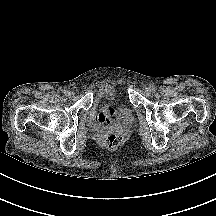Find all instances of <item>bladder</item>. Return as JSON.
I'll list each match as a JSON object with an SVG mask.
<instances>
[{"label": "bladder", "mask_w": 216, "mask_h": 216, "mask_svg": "<svg viewBox=\"0 0 216 216\" xmlns=\"http://www.w3.org/2000/svg\"><path fill=\"white\" fill-rule=\"evenodd\" d=\"M104 99L114 100L116 99V94L114 92H106L101 96ZM133 119V111L130 107L124 103H120L119 111L115 114L112 120L109 122L110 125L126 127Z\"/></svg>", "instance_id": "bladder-1"}]
</instances>
